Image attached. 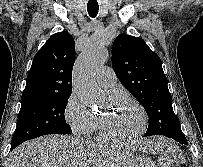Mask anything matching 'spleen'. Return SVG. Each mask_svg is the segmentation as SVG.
Listing matches in <instances>:
<instances>
[{
  "label": "spleen",
  "mask_w": 203,
  "mask_h": 167,
  "mask_svg": "<svg viewBox=\"0 0 203 167\" xmlns=\"http://www.w3.org/2000/svg\"><path fill=\"white\" fill-rule=\"evenodd\" d=\"M152 144H154V147H152L150 150L153 152H160L165 155H170L178 158V160L182 163L185 162V158L180 153V150L175 147L171 141L166 139H158Z\"/></svg>",
  "instance_id": "1"
}]
</instances>
